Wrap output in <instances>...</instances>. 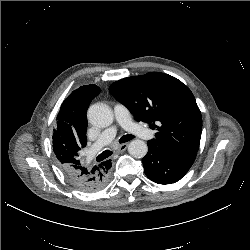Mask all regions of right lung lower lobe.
Listing matches in <instances>:
<instances>
[{
  "label": "right lung lower lobe",
  "mask_w": 250,
  "mask_h": 250,
  "mask_svg": "<svg viewBox=\"0 0 250 250\" xmlns=\"http://www.w3.org/2000/svg\"><path fill=\"white\" fill-rule=\"evenodd\" d=\"M111 160L98 165H73L61 167L68 180L78 189L85 192H93L102 189L108 182Z\"/></svg>",
  "instance_id": "1"
}]
</instances>
